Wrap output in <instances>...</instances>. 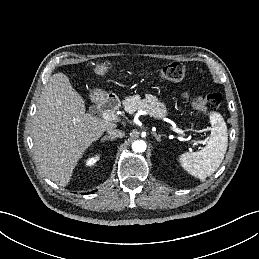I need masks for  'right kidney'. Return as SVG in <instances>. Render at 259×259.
Masks as SVG:
<instances>
[{
    "label": "right kidney",
    "mask_w": 259,
    "mask_h": 259,
    "mask_svg": "<svg viewBox=\"0 0 259 259\" xmlns=\"http://www.w3.org/2000/svg\"><path fill=\"white\" fill-rule=\"evenodd\" d=\"M99 160V156L96 155L95 157H90L86 160V165L87 166H92L94 165L97 161Z\"/></svg>",
    "instance_id": "right-kidney-1"
}]
</instances>
